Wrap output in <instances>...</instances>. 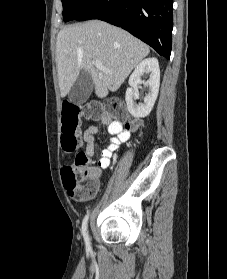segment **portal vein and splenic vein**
I'll return each mask as SVG.
<instances>
[{
	"label": "portal vein and splenic vein",
	"mask_w": 227,
	"mask_h": 279,
	"mask_svg": "<svg viewBox=\"0 0 227 279\" xmlns=\"http://www.w3.org/2000/svg\"><path fill=\"white\" fill-rule=\"evenodd\" d=\"M94 65H95L96 68H98V69H100V70H102V71L110 72L108 69H106V68L103 66L102 62L99 61V60L94 61Z\"/></svg>",
	"instance_id": "18ae733b"
}]
</instances>
